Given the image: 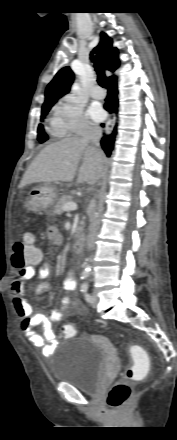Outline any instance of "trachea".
Wrapping results in <instances>:
<instances>
[{
	"instance_id": "1",
	"label": "trachea",
	"mask_w": 177,
	"mask_h": 440,
	"mask_svg": "<svg viewBox=\"0 0 177 440\" xmlns=\"http://www.w3.org/2000/svg\"><path fill=\"white\" fill-rule=\"evenodd\" d=\"M95 69L98 75V83L101 87L103 88H107V82H106V77H105V73H104V67L102 64V60L100 59L99 56L95 57Z\"/></svg>"
}]
</instances>
